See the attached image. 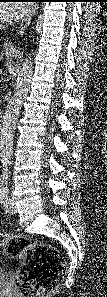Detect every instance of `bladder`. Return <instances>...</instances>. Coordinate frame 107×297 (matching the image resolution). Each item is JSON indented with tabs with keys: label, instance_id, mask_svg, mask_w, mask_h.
<instances>
[{
	"label": "bladder",
	"instance_id": "31cf9c89",
	"mask_svg": "<svg viewBox=\"0 0 107 297\" xmlns=\"http://www.w3.org/2000/svg\"><path fill=\"white\" fill-rule=\"evenodd\" d=\"M0 278H1V279L4 278V273L2 272V270H0Z\"/></svg>",
	"mask_w": 107,
	"mask_h": 297
}]
</instances>
